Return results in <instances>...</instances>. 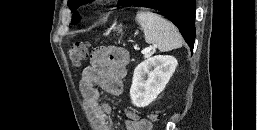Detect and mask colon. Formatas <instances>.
Here are the masks:
<instances>
[{"label": "colon", "instance_id": "1", "mask_svg": "<svg viewBox=\"0 0 257 130\" xmlns=\"http://www.w3.org/2000/svg\"><path fill=\"white\" fill-rule=\"evenodd\" d=\"M88 56V44L87 43H76L69 50V59L75 65L79 66ZM160 118L157 113H152L149 115V121L151 123H156Z\"/></svg>", "mask_w": 257, "mask_h": 130}]
</instances>
